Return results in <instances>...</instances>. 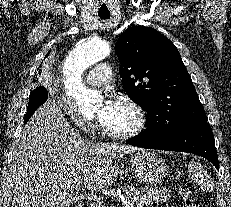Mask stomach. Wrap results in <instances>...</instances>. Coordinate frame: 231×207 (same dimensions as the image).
Returning a JSON list of instances; mask_svg holds the SVG:
<instances>
[{
  "label": "stomach",
  "mask_w": 231,
  "mask_h": 207,
  "mask_svg": "<svg viewBox=\"0 0 231 207\" xmlns=\"http://www.w3.org/2000/svg\"><path fill=\"white\" fill-rule=\"evenodd\" d=\"M130 169L143 184L156 185L166 177L169 166L156 152L140 149L131 156Z\"/></svg>",
  "instance_id": "0dacf381"
}]
</instances>
